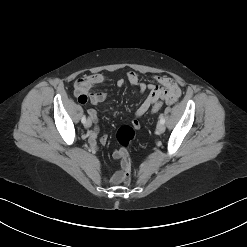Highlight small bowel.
I'll return each instance as SVG.
<instances>
[{
    "mask_svg": "<svg viewBox=\"0 0 247 247\" xmlns=\"http://www.w3.org/2000/svg\"><path fill=\"white\" fill-rule=\"evenodd\" d=\"M106 77L99 73L89 74L79 78L74 84V95L81 104L87 102L93 105L100 104L104 102L107 98L106 92H92L91 89L100 83H103ZM128 82L137 87L141 93L148 91L147 97L139 105L136 110V116L142 117L149 108L158 100L162 99L167 104H174L181 95V90L178 84L170 77L167 76H156L155 80L157 84H146L143 82L135 72H130L127 75ZM125 84L124 79H119L117 81V86L122 87ZM88 114L90 118L96 122L97 112L94 109H89ZM90 137L97 138V130L90 132ZM102 144L108 142V136L102 135L99 138ZM115 158H120L117 151L114 152ZM121 180V172H117L112 178L111 182L118 184Z\"/></svg>",
    "mask_w": 247,
    "mask_h": 247,
    "instance_id": "small-bowel-1",
    "label": "small bowel"
}]
</instances>
